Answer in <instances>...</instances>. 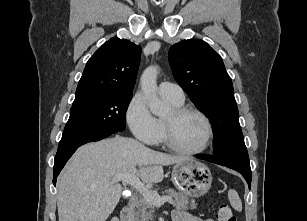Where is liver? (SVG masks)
<instances>
[{"mask_svg": "<svg viewBox=\"0 0 307 221\" xmlns=\"http://www.w3.org/2000/svg\"><path fill=\"white\" fill-rule=\"evenodd\" d=\"M185 160L121 136L85 144L58 177L59 221H106L121 197L122 186L113 181L117 175L134 173L138 167L143 183H158L163 166Z\"/></svg>", "mask_w": 307, "mask_h": 221, "instance_id": "obj_1", "label": "liver"}]
</instances>
